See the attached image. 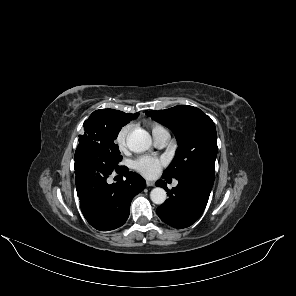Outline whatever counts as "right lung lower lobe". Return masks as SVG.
<instances>
[{
    "label": "right lung lower lobe",
    "instance_id": "98d812e1",
    "mask_svg": "<svg viewBox=\"0 0 296 296\" xmlns=\"http://www.w3.org/2000/svg\"><path fill=\"white\" fill-rule=\"evenodd\" d=\"M74 168L77 195L88 223L100 231L122 226L129 216L131 200L145 188V180L125 166L110 169L100 157L81 149L75 152ZM112 173L125 180L108 184Z\"/></svg>",
    "mask_w": 296,
    "mask_h": 296
}]
</instances>
